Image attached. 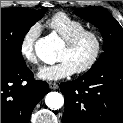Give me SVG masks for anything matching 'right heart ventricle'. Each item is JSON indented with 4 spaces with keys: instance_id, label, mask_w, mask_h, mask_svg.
Returning a JSON list of instances; mask_svg holds the SVG:
<instances>
[{
    "instance_id": "1",
    "label": "right heart ventricle",
    "mask_w": 123,
    "mask_h": 123,
    "mask_svg": "<svg viewBox=\"0 0 123 123\" xmlns=\"http://www.w3.org/2000/svg\"><path fill=\"white\" fill-rule=\"evenodd\" d=\"M46 25L63 40L68 39L73 34L86 28L83 22L73 18L65 12H57L51 16L47 20Z\"/></svg>"
}]
</instances>
